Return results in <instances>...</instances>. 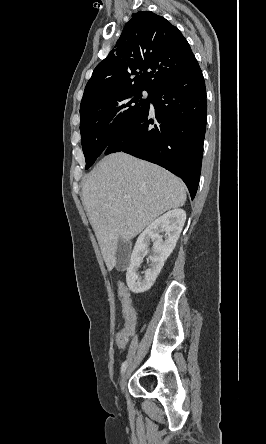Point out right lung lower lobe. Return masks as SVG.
Instances as JSON below:
<instances>
[{
    "label": "right lung lower lobe",
    "instance_id": "1",
    "mask_svg": "<svg viewBox=\"0 0 266 444\" xmlns=\"http://www.w3.org/2000/svg\"><path fill=\"white\" fill-rule=\"evenodd\" d=\"M146 112L118 133L104 153L125 152L179 176L197 192L206 130V88L199 65L150 92Z\"/></svg>",
    "mask_w": 266,
    "mask_h": 444
}]
</instances>
